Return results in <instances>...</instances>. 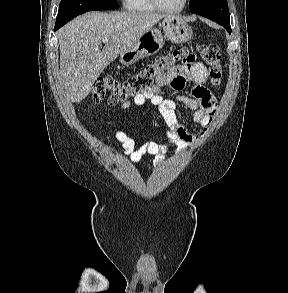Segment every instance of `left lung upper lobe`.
<instances>
[{
  "label": "left lung upper lobe",
  "mask_w": 288,
  "mask_h": 293,
  "mask_svg": "<svg viewBox=\"0 0 288 293\" xmlns=\"http://www.w3.org/2000/svg\"><path fill=\"white\" fill-rule=\"evenodd\" d=\"M190 11L209 18L222 26L230 25L226 0H190Z\"/></svg>",
  "instance_id": "5c2ea615"
}]
</instances>
